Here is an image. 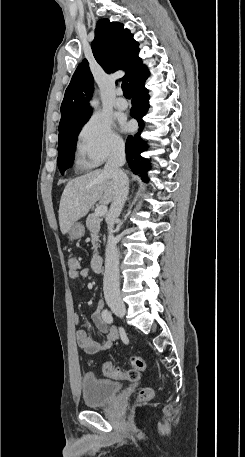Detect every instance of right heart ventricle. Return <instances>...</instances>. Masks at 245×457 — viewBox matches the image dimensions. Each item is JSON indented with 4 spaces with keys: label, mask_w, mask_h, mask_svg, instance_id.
<instances>
[{
    "label": "right heart ventricle",
    "mask_w": 245,
    "mask_h": 457,
    "mask_svg": "<svg viewBox=\"0 0 245 457\" xmlns=\"http://www.w3.org/2000/svg\"><path fill=\"white\" fill-rule=\"evenodd\" d=\"M80 154L84 157L85 154L83 153V151L80 149Z\"/></svg>",
    "instance_id": "e07e8e85"
}]
</instances>
